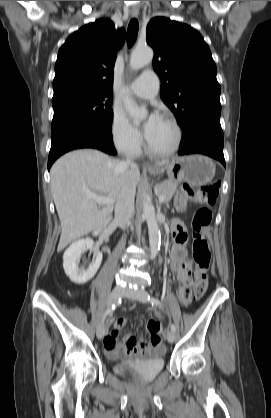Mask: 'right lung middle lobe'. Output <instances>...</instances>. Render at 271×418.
Masks as SVG:
<instances>
[{
	"mask_svg": "<svg viewBox=\"0 0 271 418\" xmlns=\"http://www.w3.org/2000/svg\"><path fill=\"white\" fill-rule=\"evenodd\" d=\"M52 104L54 116L51 133L88 123L112 125V98L109 94L72 95L54 100Z\"/></svg>",
	"mask_w": 271,
	"mask_h": 418,
	"instance_id": "1",
	"label": "right lung middle lobe"
}]
</instances>
